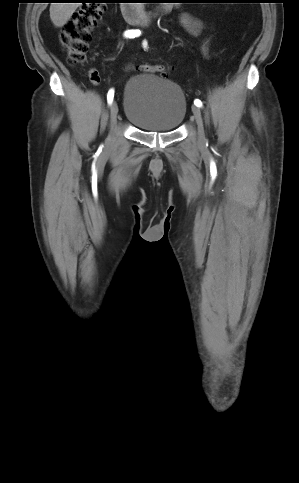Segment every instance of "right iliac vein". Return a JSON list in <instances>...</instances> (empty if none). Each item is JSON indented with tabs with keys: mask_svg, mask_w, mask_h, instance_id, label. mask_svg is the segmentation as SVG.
Wrapping results in <instances>:
<instances>
[{
	"mask_svg": "<svg viewBox=\"0 0 299 483\" xmlns=\"http://www.w3.org/2000/svg\"><path fill=\"white\" fill-rule=\"evenodd\" d=\"M117 115H118V105L116 101H113L110 108L111 130H113L116 125Z\"/></svg>",
	"mask_w": 299,
	"mask_h": 483,
	"instance_id": "1",
	"label": "right iliac vein"
}]
</instances>
